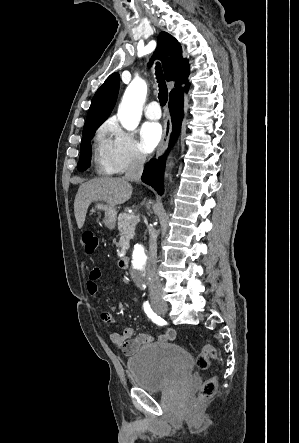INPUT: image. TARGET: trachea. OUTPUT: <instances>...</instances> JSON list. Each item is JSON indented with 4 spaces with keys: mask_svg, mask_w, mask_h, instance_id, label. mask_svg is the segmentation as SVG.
<instances>
[{
    "mask_svg": "<svg viewBox=\"0 0 299 443\" xmlns=\"http://www.w3.org/2000/svg\"><path fill=\"white\" fill-rule=\"evenodd\" d=\"M156 79L159 86L158 98L162 106H165L168 100V89L164 80L163 71L159 63H157L156 67Z\"/></svg>",
    "mask_w": 299,
    "mask_h": 443,
    "instance_id": "trachea-1",
    "label": "trachea"
}]
</instances>
